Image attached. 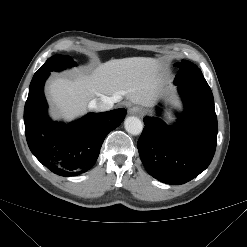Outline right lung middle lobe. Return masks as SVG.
I'll use <instances>...</instances> for the list:
<instances>
[{
  "label": "right lung middle lobe",
  "instance_id": "obj_1",
  "mask_svg": "<svg viewBox=\"0 0 247 247\" xmlns=\"http://www.w3.org/2000/svg\"><path fill=\"white\" fill-rule=\"evenodd\" d=\"M75 65L76 63L70 56L55 55L48 59L35 74H50L52 71H60Z\"/></svg>",
  "mask_w": 247,
  "mask_h": 247
}]
</instances>
